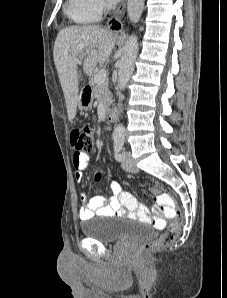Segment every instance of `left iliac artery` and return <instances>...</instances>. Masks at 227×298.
I'll list each match as a JSON object with an SVG mask.
<instances>
[{
  "label": "left iliac artery",
  "instance_id": "left-iliac-artery-1",
  "mask_svg": "<svg viewBox=\"0 0 227 298\" xmlns=\"http://www.w3.org/2000/svg\"><path fill=\"white\" fill-rule=\"evenodd\" d=\"M124 145V138H115L114 140V156L117 161H122L125 158L122 152Z\"/></svg>",
  "mask_w": 227,
  "mask_h": 298
}]
</instances>
